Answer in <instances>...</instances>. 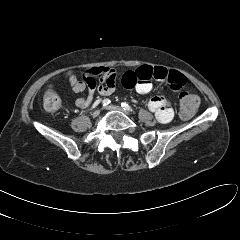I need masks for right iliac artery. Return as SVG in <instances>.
I'll list each match as a JSON object with an SVG mask.
<instances>
[{
  "label": "right iliac artery",
  "instance_id": "right-iliac-artery-1",
  "mask_svg": "<svg viewBox=\"0 0 240 240\" xmlns=\"http://www.w3.org/2000/svg\"><path fill=\"white\" fill-rule=\"evenodd\" d=\"M110 100L109 99H104L103 101H102V105L103 106H107V105H109L110 104Z\"/></svg>",
  "mask_w": 240,
  "mask_h": 240
}]
</instances>
